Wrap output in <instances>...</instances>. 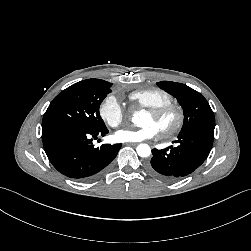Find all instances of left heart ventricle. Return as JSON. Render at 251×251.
I'll list each match as a JSON object with an SVG mask.
<instances>
[{"mask_svg": "<svg viewBox=\"0 0 251 251\" xmlns=\"http://www.w3.org/2000/svg\"><path fill=\"white\" fill-rule=\"evenodd\" d=\"M173 122H174V117L172 115H168L161 119H156L149 113H146L141 120V123L143 125L152 124L158 129V131L170 127L173 124Z\"/></svg>", "mask_w": 251, "mask_h": 251, "instance_id": "obj_1", "label": "left heart ventricle"}]
</instances>
